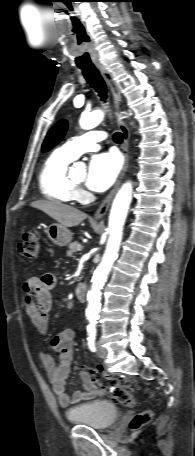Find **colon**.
<instances>
[{
  "mask_svg": "<svg viewBox=\"0 0 195 456\" xmlns=\"http://www.w3.org/2000/svg\"><path fill=\"white\" fill-rule=\"evenodd\" d=\"M19 251L23 257L29 260L37 259L41 251V237L37 232L28 231L23 234L22 241L19 244ZM87 372L92 376L94 382L107 389L113 401L124 407H133L135 399L133 396L132 383L125 379H115L102 368L90 367ZM152 412L145 410L136 414L131 422L132 429H138L150 422Z\"/></svg>",
  "mask_w": 195,
  "mask_h": 456,
  "instance_id": "5ec220e1",
  "label": "colon"
}]
</instances>
